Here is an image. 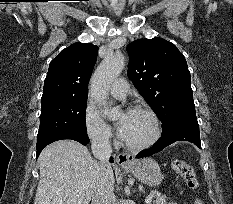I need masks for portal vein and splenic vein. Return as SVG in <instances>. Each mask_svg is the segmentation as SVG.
Masks as SVG:
<instances>
[{"instance_id": "portal-vein-and-splenic-vein-1", "label": "portal vein and splenic vein", "mask_w": 233, "mask_h": 204, "mask_svg": "<svg viewBox=\"0 0 233 204\" xmlns=\"http://www.w3.org/2000/svg\"><path fill=\"white\" fill-rule=\"evenodd\" d=\"M152 198H153L152 194L148 195V197L145 199L146 204H150L152 201Z\"/></svg>"}]
</instances>
